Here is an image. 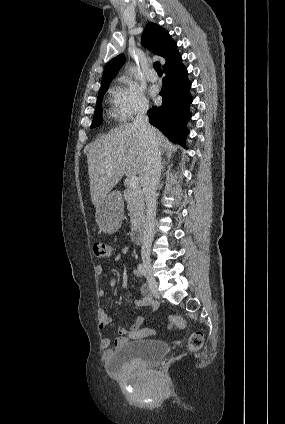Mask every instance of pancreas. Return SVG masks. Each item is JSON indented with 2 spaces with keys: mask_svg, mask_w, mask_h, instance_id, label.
<instances>
[{
  "mask_svg": "<svg viewBox=\"0 0 285 424\" xmlns=\"http://www.w3.org/2000/svg\"><path fill=\"white\" fill-rule=\"evenodd\" d=\"M124 199L130 215L131 227L136 228L144 217V197L140 188L133 189L129 186L124 191Z\"/></svg>",
  "mask_w": 285,
  "mask_h": 424,
  "instance_id": "1",
  "label": "pancreas"
}]
</instances>
